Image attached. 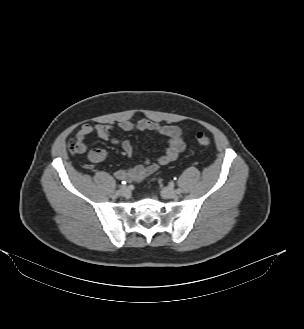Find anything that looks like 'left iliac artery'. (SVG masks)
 <instances>
[{
	"instance_id": "1",
	"label": "left iliac artery",
	"mask_w": 304,
	"mask_h": 329,
	"mask_svg": "<svg viewBox=\"0 0 304 329\" xmlns=\"http://www.w3.org/2000/svg\"><path fill=\"white\" fill-rule=\"evenodd\" d=\"M177 193L180 194V193H181V189H178V190H177Z\"/></svg>"
}]
</instances>
